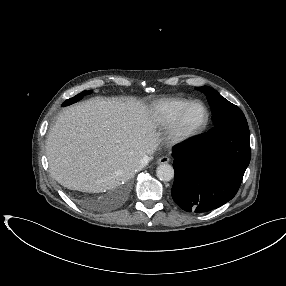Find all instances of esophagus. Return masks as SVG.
<instances>
[{"label": "esophagus", "instance_id": "esophagus-1", "mask_svg": "<svg viewBox=\"0 0 286 286\" xmlns=\"http://www.w3.org/2000/svg\"><path fill=\"white\" fill-rule=\"evenodd\" d=\"M169 161H170L169 157L163 156V157L158 159L157 163L158 164H166V163H169Z\"/></svg>", "mask_w": 286, "mask_h": 286}]
</instances>
